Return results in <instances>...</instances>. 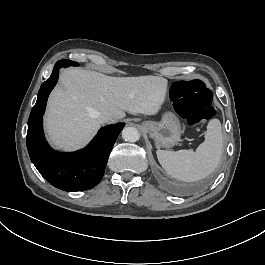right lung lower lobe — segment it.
<instances>
[{"mask_svg": "<svg viewBox=\"0 0 265 265\" xmlns=\"http://www.w3.org/2000/svg\"><path fill=\"white\" fill-rule=\"evenodd\" d=\"M62 67H67L66 63L58 61L38 92L28 120L27 149L31 161L49 183L64 191H82L100 182L112 147L125 124L101 128L92 142L80 151L61 153L52 150L44 138L42 116Z\"/></svg>", "mask_w": 265, "mask_h": 265, "instance_id": "1", "label": "right lung lower lobe"}]
</instances>
